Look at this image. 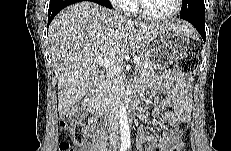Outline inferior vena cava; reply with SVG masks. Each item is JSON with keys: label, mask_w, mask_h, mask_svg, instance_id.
<instances>
[{"label": "inferior vena cava", "mask_w": 231, "mask_h": 151, "mask_svg": "<svg viewBox=\"0 0 231 151\" xmlns=\"http://www.w3.org/2000/svg\"><path fill=\"white\" fill-rule=\"evenodd\" d=\"M108 124H109V140H110V143L113 146H116L117 145V136H116V132H115L114 119L110 118L108 120Z\"/></svg>", "instance_id": "inferior-vena-cava-1"}]
</instances>
